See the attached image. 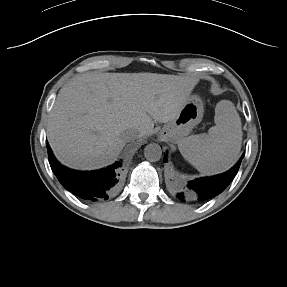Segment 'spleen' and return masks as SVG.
Masks as SVG:
<instances>
[{
	"label": "spleen",
	"instance_id": "1",
	"mask_svg": "<svg viewBox=\"0 0 287 287\" xmlns=\"http://www.w3.org/2000/svg\"><path fill=\"white\" fill-rule=\"evenodd\" d=\"M215 126L208 133L191 135L178 142L185 160L205 174H218L230 169L238 160L242 144V124L229 101L215 107Z\"/></svg>",
	"mask_w": 287,
	"mask_h": 287
}]
</instances>
